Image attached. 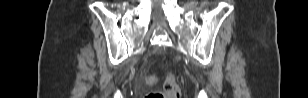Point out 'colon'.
Returning <instances> with one entry per match:
<instances>
[{"instance_id": "1", "label": "colon", "mask_w": 308, "mask_h": 98, "mask_svg": "<svg viewBox=\"0 0 308 98\" xmlns=\"http://www.w3.org/2000/svg\"><path fill=\"white\" fill-rule=\"evenodd\" d=\"M180 88L173 74H169L164 82V91H151L145 98H179Z\"/></svg>"}]
</instances>
